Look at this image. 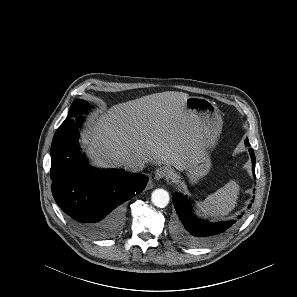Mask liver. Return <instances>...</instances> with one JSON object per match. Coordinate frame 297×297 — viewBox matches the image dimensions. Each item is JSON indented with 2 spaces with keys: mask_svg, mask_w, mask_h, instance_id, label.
Returning a JSON list of instances; mask_svg holds the SVG:
<instances>
[{
  "mask_svg": "<svg viewBox=\"0 0 297 297\" xmlns=\"http://www.w3.org/2000/svg\"><path fill=\"white\" fill-rule=\"evenodd\" d=\"M188 97L166 91L113 105L89 121L86 153L102 167L140 155L183 170L203 142L198 118L185 110Z\"/></svg>",
  "mask_w": 297,
  "mask_h": 297,
  "instance_id": "liver-1",
  "label": "liver"
}]
</instances>
